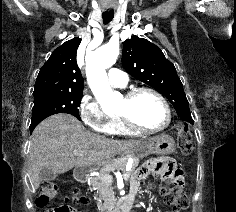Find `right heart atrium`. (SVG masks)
Masks as SVG:
<instances>
[{"instance_id": "1", "label": "right heart atrium", "mask_w": 236, "mask_h": 212, "mask_svg": "<svg viewBox=\"0 0 236 212\" xmlns=\"http://www.w3.org/2000/svg\"><path fill=\"white\" fill-rule=\"evenodd\" d=\"M79 114L82 121L92 130L106 133L110 117L102 111L94 97L89 94L82 97L79 104Z\"/></svg>"}]
</instances>
